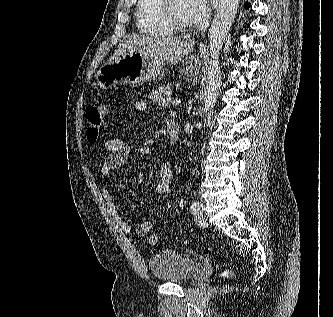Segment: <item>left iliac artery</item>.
I'll return each instance as SVG.
<instances>
[{
  "instance_id": "obj_1",
  "label": "left iliac artery",
  "mask_w": 333,
  "mask_h": 317,
  "mask_svg": "<svg viewBox=\"0 0 333 317\" xmlns=\"http://www.w3.org/2000/svg\"><path fill=\"white\" fill-rule=\"evenodd\" d=\"M201 210H202V205H201L200 202L195 201V202L192 203V205H191V212L193 214H196L197 212H200Z\"/></svg>"
}]
</instances>
